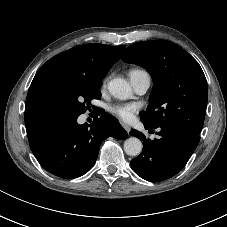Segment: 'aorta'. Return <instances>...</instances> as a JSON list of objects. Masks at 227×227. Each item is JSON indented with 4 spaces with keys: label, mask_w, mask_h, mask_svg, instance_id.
Listing matches in <instances>:
<instances>
[{
    "label": "aorta",
    "mask_w": 227,
    "mask_h": 227,
    "mask_svg": "<svg viewBox=\"0 0 227 227\" xmlns=\"http://www.w3.org/2000/svg\"><path fill=\"white\" fill-rule=\"evenodd\" d=\"M109 92L116 98L126 99L132 94L129 83L121 78H114L108 84ZM142 142L136 137H130L124 142V151L129 156H138L142 151Z\"/></svg>",
    "instance_id": "762f6f07"
}]
</instances>
